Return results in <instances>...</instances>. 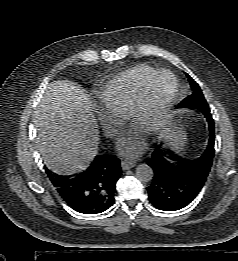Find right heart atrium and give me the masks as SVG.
Segmentation results:
<instances>
[{
  "instance_id": "d8ad5b80",
  "label": "right heart atrium",
  "mask_w": 238,
  "mask_h": 261,
  "mask_svg": "<svg viewBox=\"0 0 238 261\" xmlns=\"http://www.w3.org/2000/svg\"><path fill=\"white\" fill-rule=\"evenodd\" d=\"M98 120L104 134L113 138L125 123L126 117L100 108L97 112Z\"/></svg>"
}]
</instances>
